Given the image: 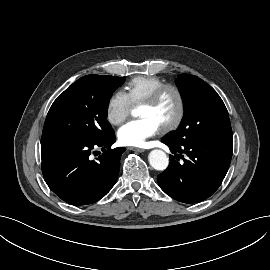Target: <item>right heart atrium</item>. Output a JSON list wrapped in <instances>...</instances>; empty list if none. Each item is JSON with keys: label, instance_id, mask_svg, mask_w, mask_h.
<instances>
[{"label": "right heart atrium", "instance_id": "1", "mask_svg": "<svg viewBox=\"0 0 270 270\" xmlns=\"http://www.w3.org/2000/svg\"><path fill=\"white\" fill-rule=\"evenodd\" d=\"M133 102L129 95L122 91H115L108 100L106 107V119L112 125H119L130 114Z\"/></svg>", "mask_w": 270, "mask_h": 270}]
</instances>
